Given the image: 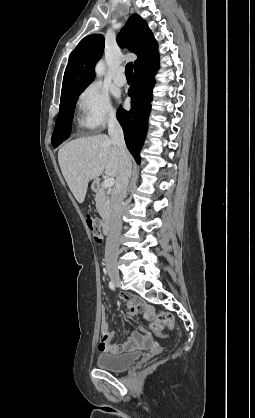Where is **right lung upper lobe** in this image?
I'll use <instances>...</instances> for the list:
<instances>
[{
    "label": "right lung upper lobe",
    "instance_id": "1",
    "mask_svg": "<svg viewBox=\"0 0 255 418\" xmlns=\"http://www.w3.org/2000/svg\"><path fill=\"white\" fill-rule=\"evenodd\" d=\"M121 47H127L137 55L134 71L142 69L158 60V45L145 20L139 15L130 16L117 36ZM104 50L101 34L83 38L72 51L65 69L62 93L86 88L94 78V67Z\"/></svg>",
    "mask_w": 255,
    "mask_h": 418
}]
</instances>
